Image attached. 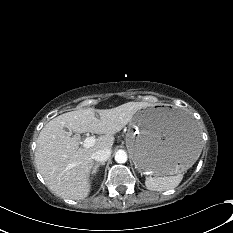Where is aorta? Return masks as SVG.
I'll use <instances>...</instances> for the list:
<instances>
[{"label":"aorta","instance_id":"obj_1","mask_svg":"<svg viewBox=\"0 0 233 233\" xmlns=\"http://www.w3.org/2000/svg\"><path fill=\"white\" fill-rule=\"evenodd\" d=\"M115 161L117 163H125L127 161V153L124 150H118L115 154Z\"/></svg>","mask_w":233,"mask_h":233}]
</instances>
